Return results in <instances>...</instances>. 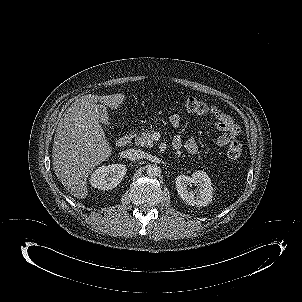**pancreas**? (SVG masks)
Here are the masks:
<instances>
[{"label":"pancreas","mask_w":302,"mask_h":302,"mask_svg":"<svg viewBox=\"0 0 302 302\" xmlns=\"http://www.w3.org/2000/svg\"><path fill=\"white\" fill-rule=\"evenodd\" d=\"M152 130L142 131L137 136V142L143 146H152Z\"/></svg>","instance_id":"cf45deb5"}]
</instances>
